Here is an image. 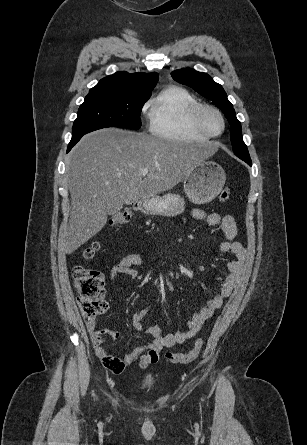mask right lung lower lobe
Here are the masks:
<instances>
[{"label":"right lung lower lobe","mask_w":307,"mask_h":445,"mask_svg":"<svg viewBox=\"0 0 307 445\" xmlns=\"http://www.w3.org/2000/svg\"><path fill=\"white\" fill-rule=\"evenodd\" d=\"M82 136L83 135L77 136V137H72V139L68 145L67 152H69L71 150V148L82 138Z\"/></svg>","instance_id":"right-lung-lower-lobe-1"}]
</instances>
